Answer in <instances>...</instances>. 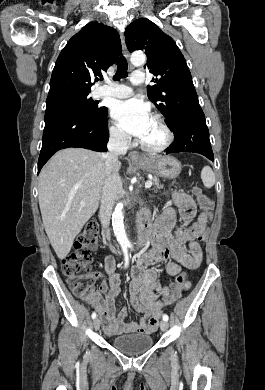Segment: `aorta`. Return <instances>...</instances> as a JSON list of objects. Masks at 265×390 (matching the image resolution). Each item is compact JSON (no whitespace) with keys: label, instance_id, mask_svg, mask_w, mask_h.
Returning <instances> with one entry per match:
<instances>
[{"label":"aorta","instance_id":"762f6f07","mask_svg":"<svg viewBox=\"0 0 265 390\" xmlns=\"http://www.w3.org/2000/svg\"><path fill=\"white\" fill-rule=\"evenodd\" d=\"M146 56L141 52H135L131 55V63L134 66H141L145 63ZM112 226L114 234L117 238V241L122 247H129L130 241L127 237L124 225V216H123V203L117 204L115 210L112 214Z\"/></svg>","mask_w":265,"mask_h":390}]
</instances>
